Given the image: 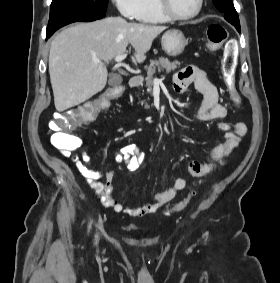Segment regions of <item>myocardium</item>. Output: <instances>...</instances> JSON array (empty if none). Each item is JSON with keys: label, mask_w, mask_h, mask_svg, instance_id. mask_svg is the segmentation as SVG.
I'll return each mask as SVG.
<instances>
[{"label": "myocardium", "mask_w": 280, "mask_h": 283, "mask_svg": "<svg viewBox=\"0 0 280 283\" xmlns=\"http://www.w3.org/2000/svg\"><path fill=\"white\" fill-rule=\"evenodd\" d=\"M156 2L161 13L169 20L175 21H185L197 17L201 12L204 4V0H198L197 8L194 12L187 15H180L172 10V8L170 7L169 0H156Z\"/></svg>", "instance_id": "obj_1"}]
</instances>
